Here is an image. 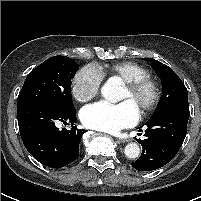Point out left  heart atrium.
<instances>
[{
    "label": "left heart atrium",
    "mask_w": 201,
    "mask_h": 201,
    "mask_svg": "<svg viewBox=\"0 0 201 201\" xmlns=\"http://www.w3.org/2000/svg\"><path fill=\"white\" fill-rule=\"evenodd\" d=\"M80 118L87 128L117 133L136 124L139 111L130 101L118 104L97 102L84 107L80 112Z\"/></svg>",
    "instance_id": "left-heart-atrium-1"
}]
</instances>
